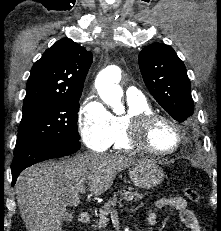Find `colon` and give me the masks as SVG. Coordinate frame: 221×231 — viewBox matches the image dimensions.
I'll return each instance as SVG.
<instances>
[{
  "label": "colon",
  "mask_w": 221,
  "mask_h": 231,
  "mask_svg": "<svg viewBox=\"0 0 221 231\" xmlns=\"http://www.w3.org/2000/svg\"><path fill=\"white\" fill-rule=\"evenodd\" d=\"M186 197L192 202H198L200 200L199 193L192 187H186L184 189Z\"/></svg>",
  "instance_id": "1"
}]
</instances>
